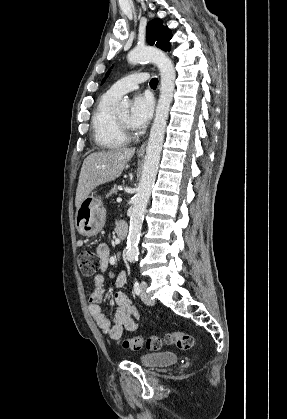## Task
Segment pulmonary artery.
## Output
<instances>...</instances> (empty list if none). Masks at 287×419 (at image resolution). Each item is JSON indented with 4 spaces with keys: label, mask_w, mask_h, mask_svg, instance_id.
Returning <instances> with one entry per match:
<instances>
[{
    "label": "pulmonary artery",
    "mask_w": 287,
    "mask_h": 419,
    "mask_svg": "<svg viewBox=\"0 0 287 419\" xmlns=\"http://www.w3.org/2000/svg\"><path fill=\"white\" fill-rule=\"evenodd\" d=\"M148 75L146 73H132L115 82L107 91V93L119 99L123 94L135 90L140 84L146 82Z\"/></svg>",
    "instance_id": "1"
}]
</instances>
